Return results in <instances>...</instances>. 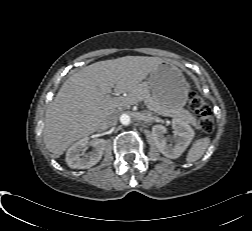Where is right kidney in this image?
Segmentation results:
<instances>
[{"instance_id":"right-kidney-1","label":"right kidney","mask_w":252,"mask_h":231,"mask_svg":"<svg viewBox=\"0 0 252 231\" xmlns=\"http://www.w3.org/2000/svg\"><path fill=\"white\" fill-rule=\"evenodd\" d=\"M88 140V137H84L67 150L66 162L71 168L87 169L101 160L106 147V140L97 139L91 143ZM88 145L93 146L94 149L88 154H83L84 148Z\"/></svg>"}]
</instances>
